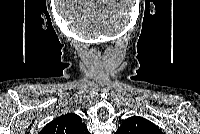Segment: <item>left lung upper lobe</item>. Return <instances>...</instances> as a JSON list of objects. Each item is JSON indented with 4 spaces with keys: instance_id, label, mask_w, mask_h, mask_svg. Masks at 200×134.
<instances>
[{
    "instance_id": "obj_1",
    "label": "left lung upper lobe",
    "mask_w": 200,
    "mask_h": 134,
    "mask_svg": "<svg viewBox=\"0 0 200 134\" xmlns=\"http://www.w3.org/2000/svg\"><path fill=\"white\" fill-rule=\"evenodd\" d=\"M116 134H162V132L147 119L132 116L124 120Z\"/></svg>"
}]
</instances>
